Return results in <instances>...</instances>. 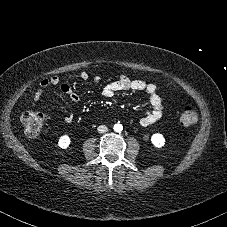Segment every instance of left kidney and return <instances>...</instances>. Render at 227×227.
<instances>
[{
  "label": "left kidney",
  "mask_w": 227,
  "mask_h": 227,
  "mask_svg": "<svg viewBox=\"0 0 227 227\" xmlns=\"http://www.w3.org/2000/svg\"><path fill=\"white\" fill-rule=\"evenodd\" d=\"M151 142L155 147L161 148L165 145V138L162 134L155 133L151 136Z\"/></svg>",
  "instance_id": "left-kidney-1"
}]
</instances>
